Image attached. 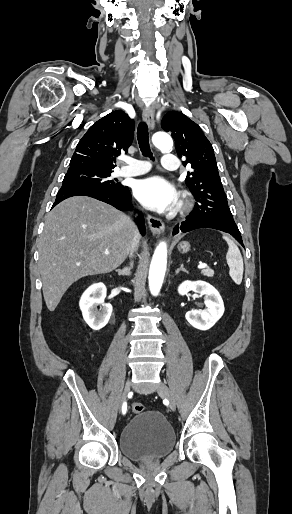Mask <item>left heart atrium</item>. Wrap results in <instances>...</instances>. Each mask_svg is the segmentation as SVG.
Segmentation results:
<instances>
[{
    "label": "left heart atrium",
    "mask_w": 292,
    "mask_h": 514,
    "mask_svg": "<svg viewBox=\"0 0 292 514\" xmlns=\"http://www.w3.org/2000/svg\"><path fill=\"white\" fill-rule=\"evenodd\" d=\"M134 195L145 207L158 211L172 208L178 200L174 187L161 176H150L138 181Z\"/></svg>",
    "instance_id": "left-heart-atrium-1"
}]
</instances>
